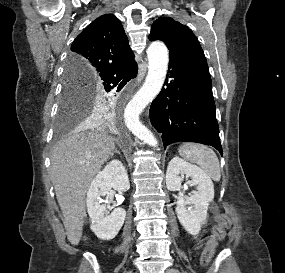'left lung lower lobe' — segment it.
Returning <instances> with one entry per match:
<instances>
[{"label":"left lung lower lobe","mask_w":285,"mask_h":273,"mask_svg":"<svg viewBox=\"0 0 285 273\" xmlns=\"http://www.w3.org/2000/svg\"><path fill=\"white\" fill-rule=\"evenodd\" d=\"M169 74L152 102L150 120L162 133L164 148L178 142L211 145L222 155L210 74L170 56Z\"/></svg>","instance_id":"0a47b994"}]
</instances>
